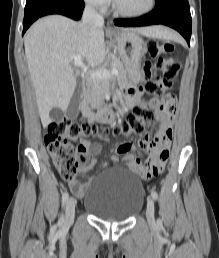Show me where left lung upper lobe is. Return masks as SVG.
<instances>
[{
    "label": "left lung upper lobe",
    "instance_id": "obj_1",
    "mask_svg": "<svg viewBox=\"0 0 219 258\" xmlns=\"http://www.w3.org/2000/svg\"><path fill=\"white\" fill-rule=\"evenodd\" d=\"M161 0H155V3H158V2H160Z\"/></svg>",
    "mask_w": 219,
    "mask_h": 258
}]
</instances>
